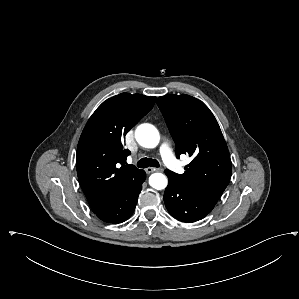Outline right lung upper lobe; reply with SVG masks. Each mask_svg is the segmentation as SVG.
Here are the masks:
<instances>
[{
    "label": "right lung upper lobe",
    "instance_id": "obj_1",
    "mask_svg": "<svg viewBox=\"0 0 299 299\" xmlns=\"http://www.w3.org/2000/svg\"><path fill=\"white\" fill-rule=\"evenodd\" d=\"M156 97L121 93L103 102L88 120L78 143L80 186L93 212L116 197L139 173L126 164L122 139L154 106Z\"/></svg>",
    "mask_w": 299,
    "mask_h": 299
}]
</instances>
